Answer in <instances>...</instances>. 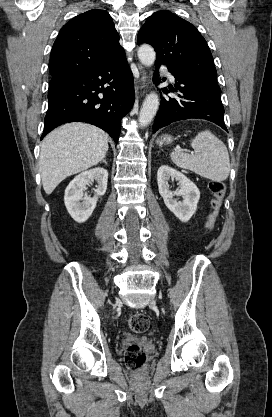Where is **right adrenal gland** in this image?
I'll return each mask as SVG.
<instances>
[{"label":"right adrenal gland","mask_w":272,"mask_h":417,"mask_svg":"<svg viewBox=\"0 0 272 417\" xmlns=\"http://www.w3.org/2000/svg\"><path fill=\"white\" fill-rule=\"evenodd\" d=\"M100 163H105V165H107V162L105 159H102Z\"/></svg>","instance_id":"obj_1"}]
</instances>
